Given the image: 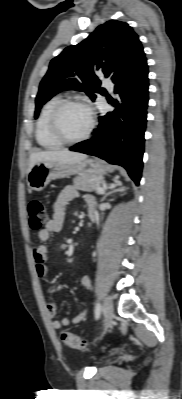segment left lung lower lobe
<instances>
[{
  "label": "left lung lower lobe",
  "instance_id": "0a47b994",
  "mask_svg": "<svg viewBox=\"0 0 182 399\" xmlns=\"http://www.w3.org/2000/svg\"><path fill=\"white\" fill-rule=\"evenodd\" d=\"M148 66L142 63L124 81L115 85L118 97L114 111L99 117L93 137L71 147V151L97 156L124 167L139 185L143 167L144 132L148 106Z\"/></svg>",
  "mask_w": 182,
  "mask_h": 399
}]
</instances>
